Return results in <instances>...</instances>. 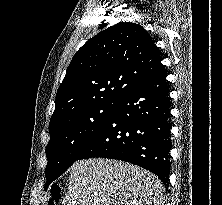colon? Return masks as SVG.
Here are the masks:
<instances>
[{
    "mask_svg": "<svg viewBox=\"0 0 222 205\" xmlns=\"http://www.w3.org/2000/svg\"><path fill=\"white\" fill-rule=\"evenodd\" d=\"M61 199V188L59 186H55L52 190L51 197L47 200L45 205H58Z\"/></svg>",
    "mask_w": 222,
    "mask_h": 205,
    "instance_id": "obj_1",
    "label": "colon"
}]
</instances>
